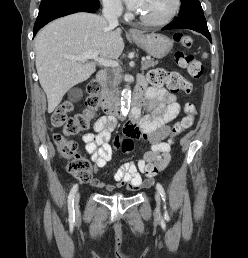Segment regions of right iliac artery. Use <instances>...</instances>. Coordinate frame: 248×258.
I'll return each mask as SVG.
<instances>
[{
  "mask_svg": "<svg viewBox=\"0 0 248 258\" xmlns=\"http://www.w3.org/2000/svg\"><path fill=\"white\" fill-rule=\"evenodd\" d=\"M78 189V185L75 184L70 193H69V196H68V210H69V217L70 219H73L74 216H75V210H74V197H75V194H76V191Z\"/></svg>",
  "mask_w": 248,
  "mask_h": 258,
  "instance_id": "82829eb1",
  "label": "right iliac artery"
}]
</instances>
